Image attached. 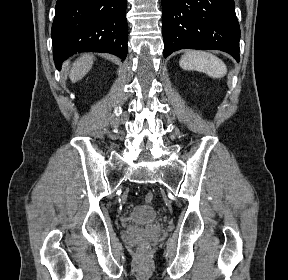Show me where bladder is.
Returning a JSON list of instances; mask_svg holds the SVG:
<instances>
[{"label": "bladder", "mask_w": 288, "mask_h": 280, "mask_svg": "<svg viewBox=\"0 0 288 280\" xmlns=\"http://www.w3.org/2000/svg\"><path fill=\"white\" fill-rule=\"evenodd\" d=\"M128 218L137 224H149L158 218V212L151 206L136 205L130 210Z\"/></svg>", "instance_id": "1"}]
</instances>
